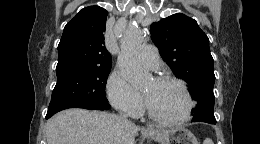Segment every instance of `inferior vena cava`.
Here are the masks:
<instances>
[{
	"label": "inferior vena cava",
	"instance_id": "1",
	"mask_svg": "<svg viewBox=\"0 0 260 144\" xmlns=\"http://www.w3.org/2000/svg\"><path fill=\"white\" fill-rule=\"evenodd\" d=\"M124 118H125V117H124ZM125 119H126V118H125ZM126 121H127V122H130V121H128L127 119H126ZM130 123H131V122H130Z\"/></svg>",
	"mask_w": 260,
	"mask_h": 144
}]
</instances>
